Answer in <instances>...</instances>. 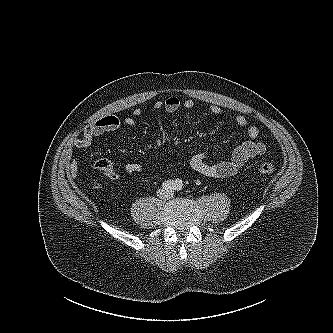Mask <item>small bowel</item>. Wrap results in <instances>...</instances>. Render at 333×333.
<instances>
[{"mask_svg": "<svg viewBox=\"0 0 333 333\" xmlns=\"http://www.w3.org/2000/svg\"><path fill=\"white\" fill-rule=\"evenodd\" d=\"M194 106L195 103L193 100H181L176 96H170L163 101H156L154 103L155 110H165L168 113H175L181 108L192 110ZM209 111L213 115L222 114V109L217 105H211ZM141 115L142 110L136 108L133 110L132 116L129 117L120 118L118 116L110 115L95 120L85 127L81 137L75 139L74 146L78 149L87 148L96 137L108 132L116 131L123 126H133L136 123V118ZM234 122L238 127L246 130L248 140L238 145L233 150L230 159L225 161L208 163L206 161V152L194 154L189 161V166L193 171L208 177L227 178L236 175L250 159L265 154L266 145L257 140L260 134L259 128L254 124H250L247 118L242 114L235 115ZM93 166L110 180H116L119 178L118 171L107 159H96ZM143 170V165L135 162L128 163L123 168V171L126 174L141 173ZM66 171L70 177H76L79 171L78 161L76 159L69 161L66 166Z\"/></svg>", "mask_w": 333, "mask_h": 333, "instance_id": "obj_1", "label": "small bowel"}]
</instances>
